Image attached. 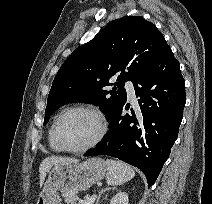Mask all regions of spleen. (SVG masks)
<instances>
[{
	"mask_svg": "<svg viewBox=\"0 0 212 204\" xmlns=\"http://www.w3.org/2000/svg\"><path fill=\"white\" fill-rule=\"evenodd\" d=\"M106 181L108 185H122L135 176L133 168L118 160L107 159Z\"/></svg>",
	"mask_w": 212,
	"mask_h": 204,
	"instance_id": "1",
	"label": "spleen"
}]
</instances>
